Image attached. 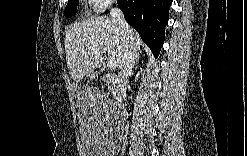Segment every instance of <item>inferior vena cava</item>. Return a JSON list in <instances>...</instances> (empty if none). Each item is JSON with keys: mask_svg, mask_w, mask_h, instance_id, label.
<instances>
[{"mask_svg": "<svg viewBox=\"0 0 247 156\" xmlns=\"http://www.w3.org/2000/svg\"><path fill=\"white\" fill-rule=\"evenodd\" d=\"M111 18L125 37V51L119 65L118 79L115 86V97L119 105L123 106L126 98V82L128 76L132 73L134 61L137 57V49L131 41L130 27L126 23L123 12L118 6L111 5Z\"/></svg>", "mask_w": 247, "mask_h": 156, "instance_id": "inferior-vena-cava-1", "label": "inferior vena cava"}]
</instances>
